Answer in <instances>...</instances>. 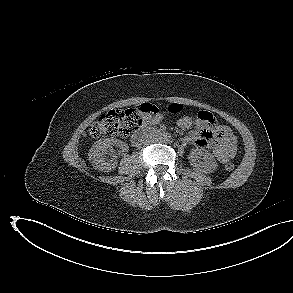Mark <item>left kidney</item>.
<instances>
[{
	"mask_svg": "<svg viewBox=\"0 0 293 293\" xmlns=\"http://www.w3.org/2000/svg\"><path fill=\"white\" fill-rule=\"evenodd\" d=\"M188 158L191 165L202 173H212L218 166L214 156L205 149H193Z\"/></svg>",
	"mask_w": 293,
	"mask_h": 293,
	"instance_id": "5707ae66",
	"label": "left kidney"
}]
</instances>
